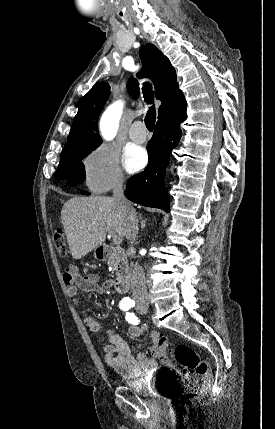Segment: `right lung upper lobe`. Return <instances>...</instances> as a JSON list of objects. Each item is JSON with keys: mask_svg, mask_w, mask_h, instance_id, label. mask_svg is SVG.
I'll use <instances>...</instances> for the list:
<instances>
[{"mask_svg": "<svg viewBox=\"0 0 275 429\" xmlns=\"http://www.w3.org/2000/svg\"><path fill=\"white\" fill-rule=\"evenodd\" d=\"M140 55L143 67L137 77H150L154 83L156 98L162 101L158 122L178 115L186 109V101L178 88L176 72L169 59L150 43L142 46ZM127 89L134 98L138 97L139 83L135 78H129ZM109 90L108 83L100 82L83 97L61 157L92 152L101 144L102 140L97 134V120L108 99Z\"/></svg>", "mask_w": 275, "mask_h": 429, "instance_id": "cb5924a9", "label": "right lung upper lobe"}]
</instances>
